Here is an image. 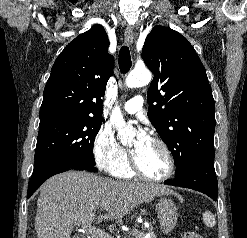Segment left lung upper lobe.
<instances>
[{
	"instance_id": "obj_1",
	"label": "left lung upper lobe",
	"mask_w": 247,
	"mask_h": 238,
	"mask_svg": "<svg viewBox=\"0 0 247 238\" xmlns=\"http://www.w3.org/2000/svg\"><path fill=\"white\" fill-rule=\"evenodd\" d=\"M142 57L154 73L148 118L173 155L175 178L194 162L214 163L215 103L193 46L177 31L156 26Z\"/></svg>"
}]
</instances>
